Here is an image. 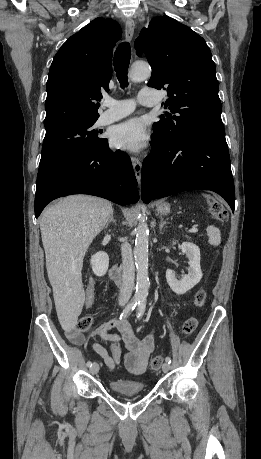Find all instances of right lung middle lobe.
I'll list each match as a JSON object with an SVG mask.
<instances>
[{"label": "right lung middle lobe", "mask_w": 261, "mask_h": 459, "mask_svg": "<svg viewBox=\"0 0 261 459\" xmlns=\"http://www.w3.org/2000/svg\"><path fill=\"white\" fill-rule=\"evenodd\" d=\"M96 120H70L47 127L39 171L66 157L100 148L107 139L93 129Z\"/></svg>", "instance_id": "right-lung-middle-lobe-1"}]
</instances>
